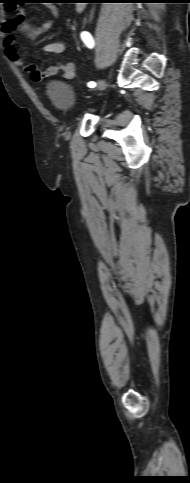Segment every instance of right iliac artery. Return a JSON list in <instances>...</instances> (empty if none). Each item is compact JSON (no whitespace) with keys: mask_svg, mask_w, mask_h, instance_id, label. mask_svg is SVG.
<instances>
[{"mask_svg":"<svg viewBox=\"0 0 190 483\" xmlns=\"http://www.w3.org/2000/svg\"><path fill=\"white\" fill-rule=\"evenodd\" d=\"M81 38H82L83 42L86 44V46H87L88 48H93V46H94V41H93V38H92V36L90 35V33L86 32V31L82 32V33H81ZM87 85H88V87H90V88H94V87L96 86V83H95V82H93V81H90V82H88V84H87Z\"/></svg>","mask_w":190,"mask_h":483,"instance_id":"right-iliac-artery-1","label":"right iliac artery"}]
</instances>
